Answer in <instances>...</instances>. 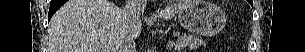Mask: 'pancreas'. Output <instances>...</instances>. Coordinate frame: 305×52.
<instances>
[{
	"mask_svg": "<svg viewBox=\"0 0 305 52\" xmlns=\"http://www.w3.org/2000/svg\"><path fill=\"white\" fill-rule=\"evenodd\" d=\"M203 41L199 37L192 34H183L176 41L177 49L188 47L189 49H197L202 45Z\"/></svg>",
	"mask_w": 305,
	"mask_h": 52,
	"instance_id": "pancreas-1",
	"label": "pancreas"
}]
</instances>
